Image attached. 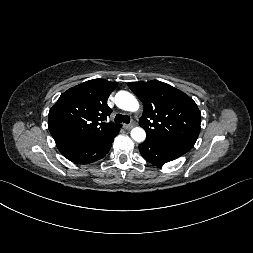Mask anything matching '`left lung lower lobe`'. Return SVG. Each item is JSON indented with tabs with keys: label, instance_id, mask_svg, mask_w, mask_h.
<instances>
[{
	"label": "left lung lower lobe",
	"instance_id": "left-lung-lower-lobe-1",
	"mask_svg": "<svg viewBox=\"0 0 253 253\" xmlns=\"http://www.w3.org/2000/svg\"><path fill=\"white\" fill-rule=\"evenodd\" d=\"M139 151L143 158L155 166H162L163 164L175 160L188 152L181 147L148 139L139 145Z\"/></svg>",
	"mask_w": 253,
	"mask_h": 253
}]
</instances>
